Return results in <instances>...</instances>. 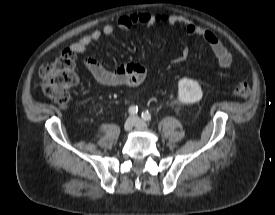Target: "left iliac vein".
Returning <instances> with one entry per match:
<instances>
[{
    "label": "left iliac vein",
    "mask_w": 275,
    "mask_h": 215,
    "mask_svg": "<svg viewBox=\"0 0 275 215\" xmlns=\"http://www.w3.org/2000/svg\"><path fill=\"white\" fill-rule=\"evenodd\" d=\"M133 119H134V126L137 129L146 130L148 128L147 124L143 120H141L139 117L135 116Z\"/></svg>",
    "instance_id": "1"
}]
</instances>
